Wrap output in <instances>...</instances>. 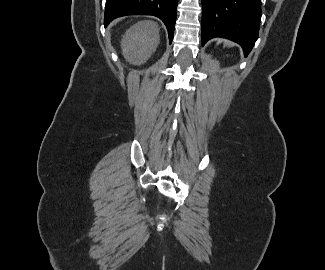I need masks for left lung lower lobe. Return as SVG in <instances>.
<instances>
[{"instance_id": "1", "label": "left lung lower lobe", "mask_w": 325, "mask_h": 270, "mask_svg": "<svg viewBox=\"0 0 325 270\" xmlns=\"http://www.w3.org/2000/svg\"><path fill=\"white\" fill-rule=\"evenodd\" d=\"M261 0H202V46L214 37L241 45L245 56L258 38Z\"/></svg>"}]
</instances>
